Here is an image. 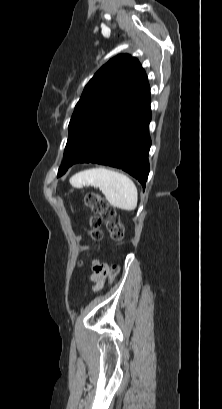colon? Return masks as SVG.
I'll return each instance as SVG.
<instances>
[{"mask_svg":"<svg viewBox=\"0 0 222 409\" xmlns=\"http://www.w3.org/2000/svg\"><path fill=\"white\" fill-rule=\"evenodd\" d=\"M84 202L93 212L90 220L91 228L88 231V235L93 241H99L101 238V231L99 229L101 223L106 225L112 240L119 242L124 238V228L115 209L100 194L88 192L84 197ZM106 272L112 279L119 273V267L113 264Z\"/></svg>","mask_w":222,"mask_h":409,"instance_id":"colon-1","label":"colon"}]
</instances>
